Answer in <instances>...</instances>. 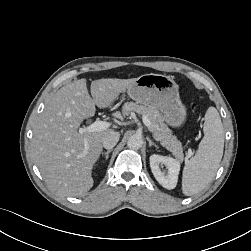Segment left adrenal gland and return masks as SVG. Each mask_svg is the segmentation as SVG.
Listing matches in <instances>:
<instances>
[{
	"instance_id": "a2214340",
	"label": "left adrenal gland",
	"mask_w": 251,
	"mask_h": 251,
	"mask_svg": "<svg viewBox=\"0 0 251 251\" xmlns=\"http://www.w3.org/2000/svg\"><path fill=\"white\" fill-rule=\"evenodd\" d=\"M147 140H148V142H149V146L151 147V146H155L156 148H159V146L156 144V143H154L150 138H147Z\"/></svg>"
}]
</instances>
